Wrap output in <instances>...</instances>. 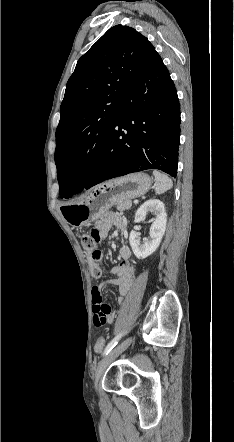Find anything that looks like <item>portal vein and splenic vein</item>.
<instances>
[{
    "label": "portal vein and splenic vein",
    "mask_w": 234,
    "mask_h": 442,
    "mask_svg": "<svg viewBox=\"0 0 234 442\" xmlns=\"http://www.w3.org/2000/svg\"><path fill=\"white\" fill-rule=\"evenodd\" d=\"M134 203H135V204H137V203H138V201H134Z\"/></svg>",
    "instance_id": "18ae733b"
}]
</instances>
